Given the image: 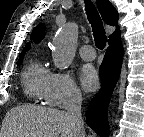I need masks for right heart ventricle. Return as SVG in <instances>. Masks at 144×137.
<instances>
[{"label": "right heart ventricle", "instance_id": "right-heart-ventricle-1", "mask_svg": "<svg viewBox=\"0 0 144 137\" xmlns=\"http://www.w3.org/2000/svg\"><path fill=\"white\" fill-rule=\"evenodd\" d=\"M51 74L39 60L31 61L22 75L25 94L36 101L44 99Z\"/></svg>", "mask_w": 144, "mask_h": 137}]
</instances>
